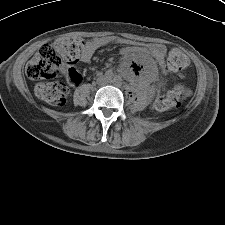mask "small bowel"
<instances>
[{
	"instance_id": "obj_1",
	"label": "small bowel",
	"mask_w": 225,
	"mask_h": 225,
	"mask_svg": "<svg viewBox=\"0 0 225 225\" xmlns=\"http://www.w3.org/2000/svg\"><path fill=\"white\" fill-rule=\"evenodd\" d=\"M120 39L114 37H96L91 40L86 41L82 46L80 60L84 63H89L93 54L101 47L108 45L110 43H121ZM134 52L147 53L152 58H154L157 62H162L166 49L163 45L160 44H149L147 46H125L122 47L120 53L123 55H130ZM68 69L66 67L62 68V72L67 77Z\"/></svg>"
}]
</instances>
